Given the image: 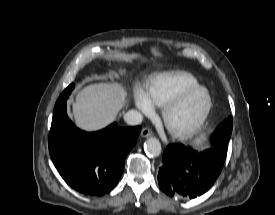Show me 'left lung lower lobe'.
<instances>
[{
  "label": "left lung lower lobe",
  "instance_id": "1",
  "mask_svg": "<svg viewBox=\"0 0 275 215\" xmlns=\"http://www.w3.org/2000/svg\"><path fill=\"white\" fill-rule=\"evenodd\" d=\"M162 162L158 172L160 189L170 197L182 199H193L208 191L224 164L182 144L169 145L163 153Z\"/></svg>",
  "mask_w": 275,
  "mask_h": 215
}]
</instances>
